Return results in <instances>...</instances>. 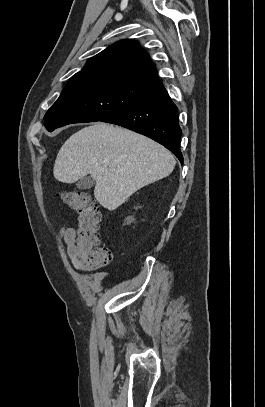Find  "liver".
Returning <instances> with one entry per match:
<instances>
[{
  "label": "liver",
  "instance_id": "1",
  "mask_svg": "<svg viewBox=\"0 0 265 407\" xmlns=\"http://www.w3.org/2000/svg\"><path fill=\"white\" fill-rule=\"evenodd\" d=\"M175 164L171 152L152 139L98 122L65 141L53 174L68 184L90 174L96 200L115 210L140 188L169 176Z\"/></svg>",
  "mask_w": 265,
  "mask_h": 407
}]
</instances>
